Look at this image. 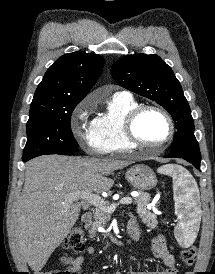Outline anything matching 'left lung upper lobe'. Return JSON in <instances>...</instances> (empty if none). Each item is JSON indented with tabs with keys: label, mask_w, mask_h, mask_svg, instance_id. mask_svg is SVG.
Returning a JSON list of instances; mask_svg holds the SVG:
<instances>
[{
	"label": "left lung upper lobe",
	"mask_w": 215,
	"mask_h": 274,
	"mask_svg": "<svg viewBox=\"0 0 215 274\" xmlns=\"http://www.w3.org/2000/svg\"><path fill=\"white\" fill-rule=\"evenodd\" d=\"M111 75L120 86L157 102L171 114L177 128L171 153L201 158L194 121L180 82L159 56L122 57L112 66Z\"/></svg>",
	"instance_id": "left-lung-upper-lobe-1"
}]
</instances>
